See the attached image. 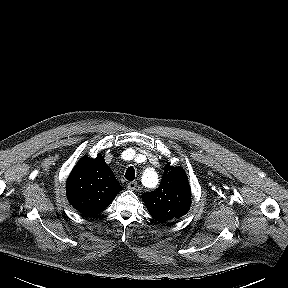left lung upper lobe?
I'll list each match as a JSON object with an SVG mask.
<instances>
[{"instance_id": "obj_1", "label": "left lung upper lobe", "mask_w": 288, "mask_h": 288, "mask_svg": "<svg viewBox=\"0 0 288 288\" xmlns=\"http://www.w3.org/2000/svg\"><path fill=\"white\" fill-rule=\"evenodd\" d=\"M142 200L157 221L164 223L185 215L191 205V191L184 170L167 164L159 188L143 193Z\"/></svg>"}]
</instances>
